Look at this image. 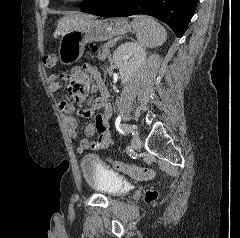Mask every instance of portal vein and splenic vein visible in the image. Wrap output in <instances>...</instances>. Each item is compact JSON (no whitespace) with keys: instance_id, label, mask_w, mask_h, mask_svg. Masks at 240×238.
Instances as JSON below:
<instances>
[{"instance_id":"obj_1","label":"portal vein and splenic vein","mask_w":240,"mask_h":238,"mask_svg":"<svg viewBox=\"0 0 240 238\" xmlns=\"http://www.w3.org/2000/svg\"><path fill=\"white\" fill-rule=\"evenodd\" d=\"M114 44H115V42H114V41H111V42H109V47H112V46H114Z\"/></svg>"}]
</instances>
